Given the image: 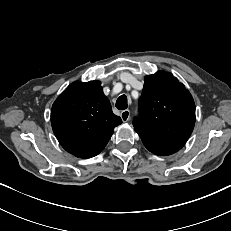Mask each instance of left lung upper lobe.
Instances as JSON below:
<instances>
[{"label":"left lung upper lobe","mask_w":231,"mask_h":231,"mask_svg":"<svg viewBox=\"0 0 231 231\" xmlns=\"http://www.w3.org/2000/svg\"><path fill=\"white\" fill-rule=\"evenodd\" d=\"M139 110L133 125L142 142L171 153L184 146L195 125L191 94L168 72L158 71L145 77Z\"/></svg>","instance_id":"5c2ea615"}]
</instances>
